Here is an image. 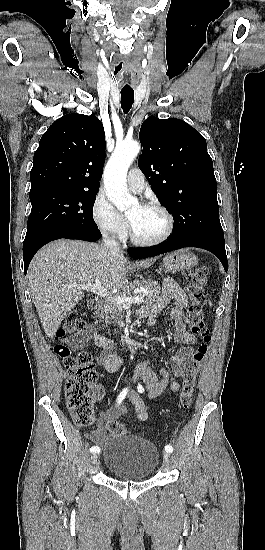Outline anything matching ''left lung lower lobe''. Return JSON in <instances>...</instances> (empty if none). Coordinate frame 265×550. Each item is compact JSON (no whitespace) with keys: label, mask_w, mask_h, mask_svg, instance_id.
Wrapping results in <instances>:
<instances>
[{"label":"left lung lower lobe","mask_w":265,"mask_h":550,"mask_svg":"<svg viewBox=\"0 0 265 550\" xmlns=\"http://www.w3.org/2000/svg\"><path fill=\"white\" fill-rule=\"evenodd\" d=\"M184 247H198L212 252L221 261L227 272V256L225 244L217 243L213 240L200 237H184L178 239H167L165 243L159 246L148 248H130L129 255L134 259L157 256L166 252L177 250Z\"/></svg>","instance_id":"0a47b994"}]
</instances>
